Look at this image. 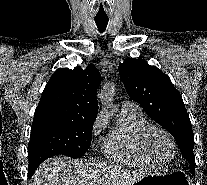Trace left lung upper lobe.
<instances>
[{
    "instance_id": "1",
    "label": "left lung upper lobe",
    "mask_w": 207,
    "mask_h": 185,
    "mask_svg": "<svg viewBox=\"0 0 207 185\" xmlns=\"http://www.w3.org/2000/svg\"><path fill=\"white\" fill-rule=\"evenodd\" d=\"M119 74L130 98L175 138L182 155L195 172L194 136L182 96L170 78L144 59H126Z\"/></svg>"
}]
</instances>
